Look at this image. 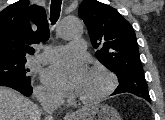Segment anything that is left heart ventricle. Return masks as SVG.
<instances>
[{
    "instance_id": "left-heart-ventricle-1",
    "label": "left heart ventricle",
    "mask_w": 165,
    "mask_h": 120,
    "mask_svg": "<svg viewBox=\"0 0 165 120\" xmlns=\"http://www.w3.org/2000/svg\"><path fill=\"white\" fill-rule=\"evenodd\" d=\"M107 84L106 78L99 73L88 71L78 97L87 98L99 94Z\"/></svg>"
}]
</instances>
